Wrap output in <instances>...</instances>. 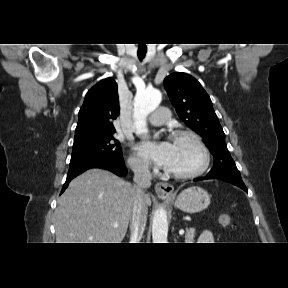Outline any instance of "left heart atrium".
<instances>
[{"mask_svg": "<svg viewBox=\"0 0 288 288\" xmlns=\"http://www.w3.org/2000/svg\"><path fill=\"white\" fill-rule=\"evenodd\" d=\"M137 151L143 158L159 167L166 168L173 153V144L169 141L155 142L145 140L137 146Z\"/></svg>", "mask_w": 288, "mask_h": 288, "instance_id": "39dd6f15", "label": "left heart atrium"}]
</instances>
